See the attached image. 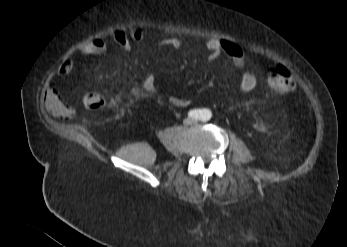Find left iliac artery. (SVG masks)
Returning a JSON list of instances; mask_svg holds the SVG:
<instances>
[{"label": "left iliac artery", "mask_w": 347, "mask_h": 247, "mask_svg": "<svg viewBox=\"0 0 347 247\" xmlns=\"http://www.w3.org/2000/svg\"><path fill=\"white\" fill-rule=\"evenodd\" d=\"M211 118V113L207 110L204 111V113L202 114V118L201 120L206 122Z\"/></svg>", "instance_id": "44dca946"}]
</instances>
